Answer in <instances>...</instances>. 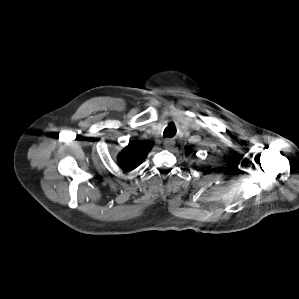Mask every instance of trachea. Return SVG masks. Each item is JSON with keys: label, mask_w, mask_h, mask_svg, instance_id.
<instances>
[{"label": "trachea", "mask_w": 299, "mask_h": 299, "mask_svg": "<svg viewBox=\"0 0 299 299\" xmlns=\"http://www.w3.org/2000/svg\"><path fill=\"white\" fill-rule=\"evenodd\" d=\"M176 134V127L173 125V124H170L169 126H167L164 130V133H163V137L164 138H172L174 137Z\"/></svg>", "instance_id": "obj_1"}]
</instances>
